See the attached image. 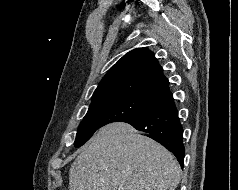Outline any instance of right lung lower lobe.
I'll list each match as a JSON object with an SVG mask.
<instances>
[{
	"label": "right lung lower lobe",
	"instance_id": "right-lung-lower-lobe-1",
	"mask_svg": "<svg viewBox=\"0 0 238 190\" xmlns=\"http://www.w3.org/2000/svg\"><path fill=\"white\" fill-rule=\"evenodd\" d=\"M123 122L150 134L152 139L171 151L183 167V128L171 92L147 110Z\"/></svg>",
	"mask_w": 238,
	"mask_h": 190
}]
</instances>
